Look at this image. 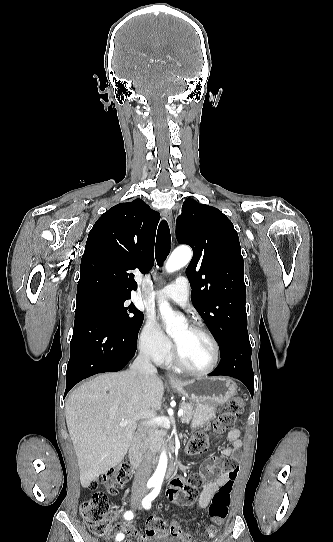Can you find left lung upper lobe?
I'll use <instances>...</instances> for the list:
<instances>
[{"label":"left lung upper lobe","instance_id":"obj_1","mask_svg":"<svg viewBox=\"0 0 333 542\" xmlns=\"http://www.w3.org/2000/svg\"><path fill=\"white\" fill-rule=\"evenodd\" d=\"M176 238L194 251L186 269L191 300L214 333L221 354L234 337L248 335L238 234L220 210L187 198L177 221Z\"/></svg>","mask_w":333,"mask_h":542}]
</instances>
